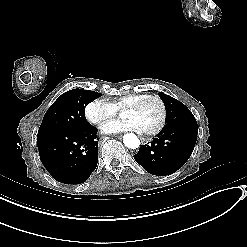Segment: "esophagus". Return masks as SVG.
Segmentation results:
<instances>
[{
  "label": "esophagus",
  "mask_w": 247,
  "mask_h": 247,
  "mask_svg": "<svg viewBox=\"0 0 247 247\" xmlns=\"http://www.w3.org/2000/svg\"><path fill=\"white\" fill-rule=\"evenodd\" d=\"M140 141H141L142 145H145L147 143V141L143 137H140Z\"/></svg>",
  "instance_id": "obj_1"
}]
</instances>
